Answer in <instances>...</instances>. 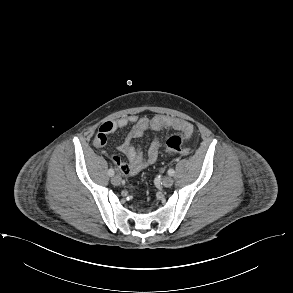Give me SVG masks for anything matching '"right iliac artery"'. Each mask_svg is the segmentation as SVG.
I'll list each match as a JSON object with an SVG mask.
<instances>
[{"mask_svg":"<svg viewBox=\"0 0 293 293\" xmlns=\"http://www.w3.org/2000/svg\"><path fill=\"white\" fill-rule=\"evenodd\" d=\"M108 175L109 176H113L114 175V170L113 169H109L108 170Z\"/></svg>","mask_w":293,"mask_h":293,"instance_id":"obj_1","label":"right iliac artery"}]
</instances>
